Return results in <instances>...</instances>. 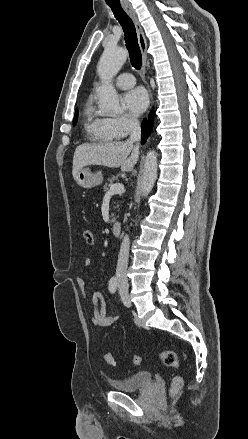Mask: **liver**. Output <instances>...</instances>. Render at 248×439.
<instances>
[{
	"label": "liver",
	"instance_id": "1",
	"mask_svg": "<svg viewBox=\"0 0 248 439\" xmlns=\"http://www.w3.org/2000/svg\"><path fill=\"white\" fill-rule=\"evenodd\" d=\"M138 158L139 149L129 140L98 144L85 143L75 150L72 174L75 178L76 174L88 165L121 167L122 171L129 172L137 163Z\"/></svg>",
	"mask_w": 248,
	"mask_h": 439
}]
</instances>
